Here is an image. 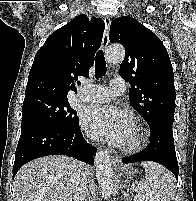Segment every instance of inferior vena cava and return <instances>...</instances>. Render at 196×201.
<instances>
[{
  "instance_id": "1",
  "label": "inferior vena cava",
  "mask_w": 196,
  "mask_h": 201,
  "mask_svg": "<svg viewBox=\"0 0 196 201\" xmlns=\"http://www.w3.org/2000/svg\"><path fill=\"white\" fill-rule=\"evenodd\" d=\"M87 173L85 172L83 164L78 167L74 176L73 199L74 201H85L87 193Z\"/></svg>"
}]
</instances>
